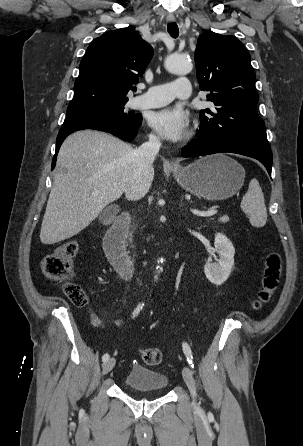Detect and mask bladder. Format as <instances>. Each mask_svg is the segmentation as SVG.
Returning <instances> with one entry per match:
<instances>
[{"instance_id": "obj_1", "label": "bladder", "mask_w": 303, "mask_h": 446, "mask_svg": "<svg viewBox=\"0 0 303 446\" xmlns=\"http://www.w3.org/2000/svg\"><path fill=\"white\" fill-rule=\"evenodd\" d=\"M169 385L168 377L159 371L133 366L124 378V386L137 392H163Z\"/></svg>"}]
</instances>
